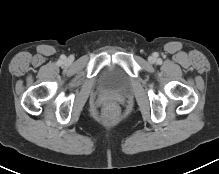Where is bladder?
<instances>
[{
    "label": "bladder",
    "mask_w": 219,
    "mask_h": 174,
    "mask_svg": "<svg viewBox=\"0 0 219 174\" xmlns=\"http://www.w3.org/2000/svg\"><path fill=\"white\" fill-rule=\"evenodd\" d=\"M100 82L103 87L120 91L127 87L129 77L127 73L116 65L107 66L100 77Z\"/></svg>",
    "instance_id": "bladder-1"
}]
</instances>
